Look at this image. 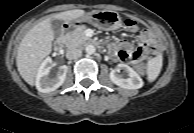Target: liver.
Returning <instances> with one entry per match:
<instances>
[{
	"label": "liver",
	"mask_w": 194,
	"mask_h": 133,
	"mask_svg": "<svg viewBox=\"0 0 194 133\" xmlns=\"http://www.w3.org/2000/svg\"><path fill=\"white\" fill-rule=\"evenodd\" d=\"M98 10H93L96 12ZM85 15L84 10L75 9L53 14L31 28L21 40L16 57L17 69L21 77L29 84L34 85L38 69L52 50L55 38L51 21L53 19L72 21Z\"/></svg>",
	"instance_id": "1"
}]
</instances>
